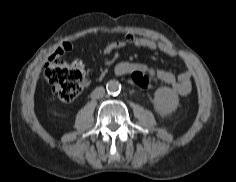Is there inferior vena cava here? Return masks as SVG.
<instances>
[{
  "mask_svg": "<svg viewBox=\"0 0 236 182\" xmlns=\"http://www.w3.org/2000/svg\"><path fill=\"white\" fill-rule=\"evenodd\" d=\"M104 94H105V89L103 87H97L92 91L91 97L94 99H99L102 98Z\"/></svg>",
  "mask_w": 236,
  "mask_h": 182,
  "instance_id": "inferior-vena-cava-1",
  "label": "inferior vena cava"
}]
</instances>
